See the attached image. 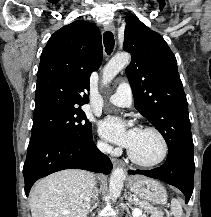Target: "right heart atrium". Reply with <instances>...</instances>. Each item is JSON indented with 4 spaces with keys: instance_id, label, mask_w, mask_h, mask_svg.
I'll list each match as a JSON object with an SVG mask.
<instances>
[{
    "instance_id": "d8ad5b80",
    "label": "right heart atrium",
    "mask_w": 211,
    "mask_h": 217,
    "mask_svg": "<svg viewBox=\"0 0 211 217\" xmlns=\"http://www.w3.org/2000/svg\"><path fill=\"white\" fill-rule=\"evenodd\" d=\"M97 145L98 148L103 152H114V149L104 141H99Z\"/></svg>"
}]
</instances>
